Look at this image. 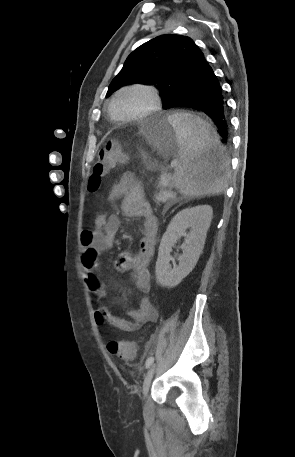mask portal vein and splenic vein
<instances>
[{
	"label": "portal vein and splenic vein",
	"instance_id": "obj_1",
	"mask_svg": "<svg viewBox=\"0 0 295 457\" xmlns=\"http://www.w3.org/2000/svg\"><path fill=\"white\" fill-rule=\"evenodd\" d=\"M171 175L170 173H165L164 175L161 176L160 182L162 185H166L170 179Z\"/></svg>",
	"mask_w": 295,
	"mask_h": 457
}]
</instances>
